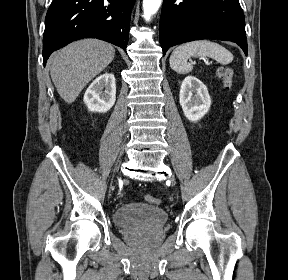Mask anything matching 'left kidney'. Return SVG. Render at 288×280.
<instances>
[{
    "label": "left kidney",
    "instance_id": "5707ae66",
    "mask_svg": "<svg viewBox=\"0 0 288 280\" xmlns=\"http://www.w3.org/2000/svg\"><path fill=\"white\" fill-rule=\"evenodd\" d=\"M179 102L185 117L191 122L200 120L211 106L207 87L194 76H187L182 81Z\"/></svg>",
    "mask_w": 288,
    "mask_h": 280
}]
</instances>
